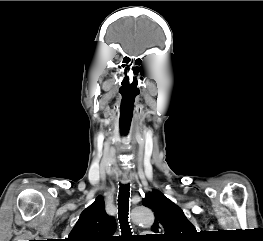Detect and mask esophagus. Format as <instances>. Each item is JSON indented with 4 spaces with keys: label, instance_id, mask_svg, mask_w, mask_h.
I'll list each match as a JSON object with an SVG mask.
<instances>
[{
    "label": "esophagus",
    "instance_id": "1",
    "mask_svg": "<svg viewBox=\"0 0 263 241\" xmlns=\"http://www.w3.org/2000/svg\"><path fill=\"white\" fill-rule=\"evenodd\" d=\"M131 179H132V177H131V175L130 174H128V173H123V175H122V184H128L130 181H131Z\"/></svg>",
    "mask_w": 263,
    "mask_h": 241
}]
</instances>
